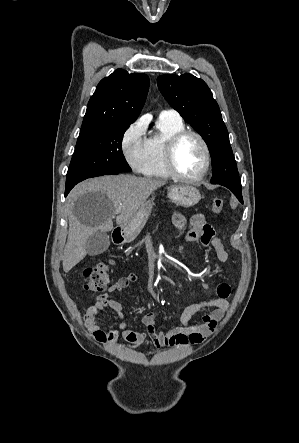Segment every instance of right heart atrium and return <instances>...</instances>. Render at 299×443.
I'll use <instances>...</instances> for the list:
<instances>
[{
    "label": "right heart atrium",
    "instance_id": "obj_1",
    "mask_svg": "<svg viewBox=\"0 0 299 443\" xmlns=\"http://www.w3.org/2000/svg\"><path fill=\"white\" fill-rule=\"evenodd\" d=\"M146 126L142 120L131 123L123 132L120 147L128 164L141 172L146 156Z\"/></svg>",
    "mask_w": 299,
    "mask_h": 443
}]
</instances>
